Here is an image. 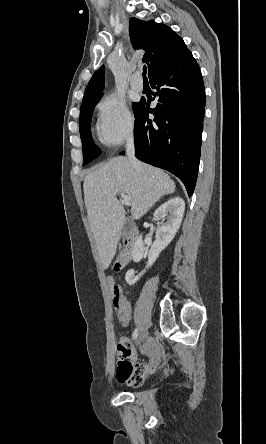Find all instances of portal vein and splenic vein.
<instances>
[{
  "mask_svg": "<svg viewBox=\"0 0 266 444\" xmlns=\"http://www.w3.org/2000/svg\"><path fill=\"white\" fill-rule=\"evenodd\" d=\"M120 195L125 203L129 204L131 202V197L129 195H126L124 193H120Z\"/></svg>",
  "mask_w": 266,
  "mask_h": 444,
  "instance_id": "obj_1",
  "label": "portal vein and splenic vein"
}]
</instances>
